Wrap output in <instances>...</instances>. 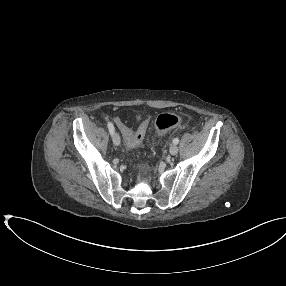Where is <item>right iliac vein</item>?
Instances as JSON below:
<instances>
[{
	"mask_svg": "<svg viewBox=\"0 0 286 286\" xmlns=\"http://www.w3.org/2000/svg\"><path fill=\"white\" fill-rule=\"evenodd\" d=\"M112 140L115 146H119L120 145V136L118 135V133L114 132L112 135Z\"/></svg>",
	"mask_w": 286,
	"mask_h": 286,
	"instance_id": "right-iliac-vein-1",
	"label": "right iliac vein"
}]
</instances>
